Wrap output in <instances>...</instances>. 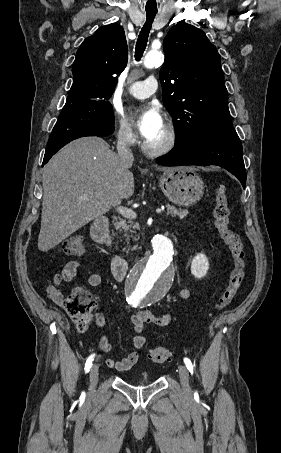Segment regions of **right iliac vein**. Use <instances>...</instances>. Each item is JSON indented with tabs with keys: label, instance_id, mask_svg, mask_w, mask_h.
Masks as SVG:
<instances>
[{
	"label": "right iliac vein",
	"instance_id": "63e3f726",
	"mask_svg": "<svg viewBox=\"0 0 281 453\" xmlns=\"http://www.w3.org/2000/svg\"><path fill=\"white\" fill-rule=\"evenodd\" d=\"M90 374H91V375H90L89 378H90L91 381H93V382L91 383V384H92L91 387L94 389V388L96 387V386H95V384H96L95 382L97 381V378H98L97 376H98V374H99L98 368L95 366L93 369H91Z\"/></svg>",
	"mask_w": 281,
	"mask_h": 453
}]
</instances>
